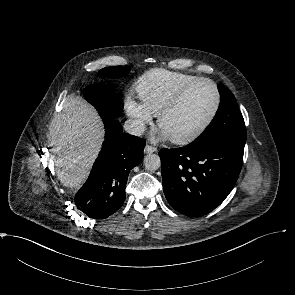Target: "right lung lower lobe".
<instances>
[{"instance_id": "98d812e1", "label": "right lung lower lobe", "mask_w": 295, "mask_h": 295, "mask_svg": "<svg viewBox=\"0 0 295 295\" xmlns=\"http://www.w3.org/2000/svg\"><path fill=\"white\" fill-rule=\"evenodd\" d=\"M105 140L86 183L75 195L79 210L93 219H104L124 203L129 172L142 162L145 142L124 134L115 118H103Z\"/></svg>"}]
</instances>
